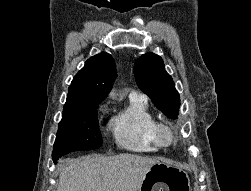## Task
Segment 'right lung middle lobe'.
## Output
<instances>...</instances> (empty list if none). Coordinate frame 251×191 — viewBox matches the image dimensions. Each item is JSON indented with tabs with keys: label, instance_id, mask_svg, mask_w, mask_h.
<instances>
[{
	"label": "right lung middle lobe",
	"instance_id": "1",
	"mask_svg": "<svg viewBox=\"0 0 251 191\" xmlns=\"http://www.w3.org/2000/svg\"><path fill=\"white\" fill-rule=\"evenodd\" d=\"M97 108L98 105H88L63 111L53 147L54 163L69 152L101 147Z\"/></svg>",
	"mask_w": 251,
	"mask_h": 191
}]
</instances>
